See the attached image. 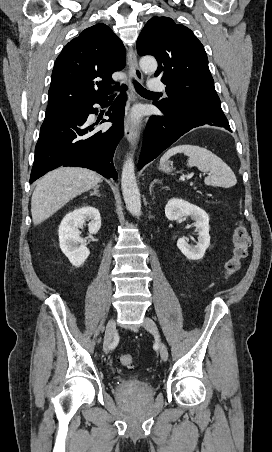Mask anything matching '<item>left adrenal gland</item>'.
<instances>
[{"instance_id":"a2214340","label":"left adrenal gland","mask_w":272,"mask_h":452,"mask_svg":"<svg viewBox=\"0 0 272 452\" xmlns=\"http://www.w3.org/2000/svg\"><path fill=\"white\" fill-rule=\"evenodd\" d=\"M156 183L161 184V181H159V180H157V179H154V180L152 181V183L150 184V193H151V191H152V188H153L154 184H156Z\"/></svg>"}]
</instances>
